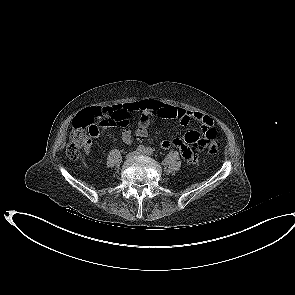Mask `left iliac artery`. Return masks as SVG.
I'll return each mask as SVG.
<instances>
[{
	"label": "left iliac artery",
	"instance_id": "44dca946",
	"mask_svg": "<svg viewBox=\"0 0 295 295\" xmlns=\"http://www.w3.org/2000/svg\"><path fill=\"white\" fill-rule=\"evenodd\" d=\"M148 155H152L153 154V149L151 147L146 148L145 151Z\"/></svg>",
	"mask_w": 295,
	"mask_h": 295
}]
</instances>
